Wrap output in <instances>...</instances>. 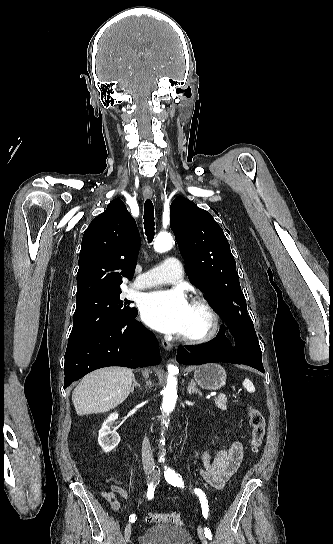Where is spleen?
Instances as JSON below:
<instances>
[{"mask_svg":"<svg viewBox=\"0 0 333 544\" xmlns=\"http://www.w3.org/2000/svg\"><path fill=\"white\" fill-rule=\"evenodd\" d=\"M243 386L247 389L248 392L250 393H253L255 391V387L253 385V383L248 379L246 378L244 381H243Z\"/></svg>","mask_w":333,"mask_h":544,"instance_id":"spleen-1","label":"spleen"}]
</instances>
